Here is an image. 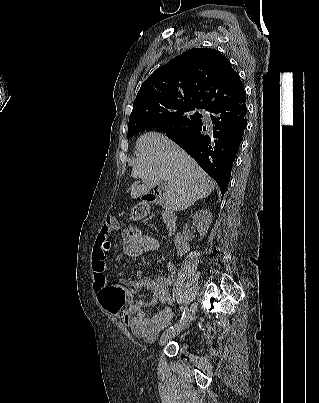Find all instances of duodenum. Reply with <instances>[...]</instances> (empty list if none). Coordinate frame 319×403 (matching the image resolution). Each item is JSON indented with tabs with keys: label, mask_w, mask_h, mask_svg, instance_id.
Segmentation results:
<instances>
[{
	"label": "duodenum",
	"mask_w": 319,
	"mask_h": 403,
	"mask_svg": "<svg viewBox=\"0 0 319 403\" xmlns=\"http://www.w3.org/2000/svg\"><path fill=\"white\" fill-rule=\"evenodd\" d=\"M143 202L137 207V214L139 216H145L149 210V204L157 203L160 205L164 204L162 195L160 193L148 194L142 197ZM163 220L165 223L166 232L168 235L175 233L177 228V216L174 210L170 207L165 206L163 211Z\"/></svg>",
	"instance_id": "410a0bca"
}]
</instances>
